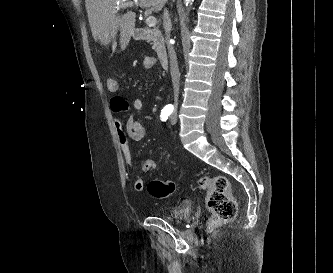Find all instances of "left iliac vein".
Masks as SVG:
<instances>
[{
    "label": "left iliac vein",
    "instance_id": "left-iliac-vein-1",
    "mask_svg": "<svg viewBox=\"0 0 333 273\" xmlns=\"http://www.w3.org/2000/svg\"><path fill=\"white\" fill-rule=\"evenodd\" d=\"M176 122H177V114L174 113L170 118V123L174 125L176 124Z\"/></svg>",
    "mask_w": 333,
    "mask_h": 273
}]
</instances>
